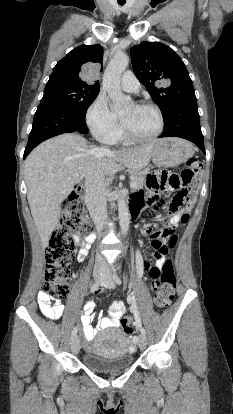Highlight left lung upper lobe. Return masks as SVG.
<instances>
[{
    "instance_id": "left-lung-upper-lobe-1",
    "label": "left lung upper lobe",
    "mask_w": 233,
    "mask_h": 414,
    "mask_svg": "<svg viewBox=\"0 0 233 414\" xmlns=\"http://www.w3.org/2000/svg\"><path fill=\"white\" fill-rule=\"evenodd\" d=\"M133 71L159 106L163 119L187 99H196L192 80L181 58L159 42H142L131 51ZM167 87H160V82Z\"/></svg>"
}]
</instances>
